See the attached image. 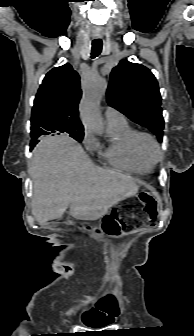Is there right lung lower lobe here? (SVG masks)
I'll use <instances>...</instances> for the list:
<instances>
[{"label": "right lung lower lobe", "mask_w": 194, "mask_h": 336, "mask_svg": "<svg viewBox=\"0 0 194 336\" xmlns=\"http://www.w3.org/2000/svg\"><path fill=\"white\" fill-rule=\"evenodd\" d=\"M34 146L33 145H31V149L33 148Z\"/></svg>", "instance_id": "obj_1"}]
</instances>
